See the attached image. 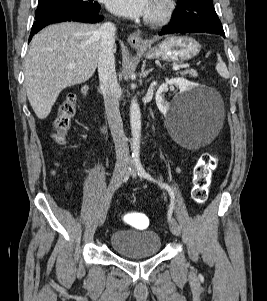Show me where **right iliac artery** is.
<instances>
[{"label":"right iliac artery","mask_w":267,"mask_h":301,"mask_svg":"<svg viewBox=\"0 0 267 301\" xmlns=\"http://www.w3.org/2000/svg\"><path fill=\"white\" fill-rule=\"evenodd\" d=\"M130 172H131V167L128 169V172H127V174H126V177L130 174ZM119 185H120V183H119ZM119 185H117V186H119ZM110 203V202H109Z\"/></svg>","instance_id":"obj_1"}]
</instances>
